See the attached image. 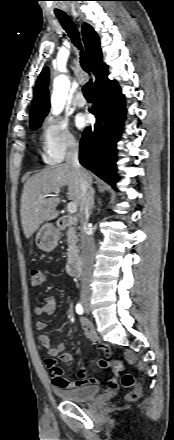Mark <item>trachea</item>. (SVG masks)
I'll list each match as a JSON object with an SVG mask.
<instances>
[{"mask_svg":"<svg viewBox=\"0 0 174 440\" xmlns=\"http://www.w3.org/2000/svg\"><path fill=\"white\" fill-rule=\"evenodd\" d=\"M57 18L60 20L63 28L68 33V36L71 38L72 42L76 47H78L81 50L80 53V63L84 71L89 73V64L86 57V53L82 50L81 42H80V34L75 26V24L71 21V19L66 15H58ZM83 94L86 98H92L93 97V90H92V82L91 80L86 83L83 87Z\"/></svg>","mask_w":174,"mask_h":440,"instance_id":"obj_1","label":"trachea"}]
</instances>
